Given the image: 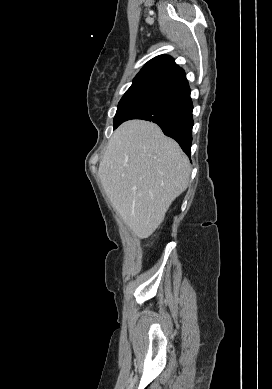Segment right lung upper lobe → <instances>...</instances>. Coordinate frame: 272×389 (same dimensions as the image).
<instances>
[{"mask_svg": "<svg viewBox=\"0 0 272 389\" xmlns=\"http://www.w3.org/2000/svg\"><path fill=\"white\" fill-rule=\"evenodd\" d=\"M183 77H185L184 70L174 62L171 56L159 55L144 65L133 79V84L153 83L166 86Z\"/></svg>", "mask_w": 272, "mask_h": 389, "instance_id": "right-lung-upper-lobe-1", "label": "right lung upper lobe"}]
</instances>
